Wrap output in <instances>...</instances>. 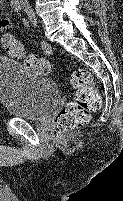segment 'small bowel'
<instances>
[{"label":"small bowel","instance_id":"1","mask_svg":"<svg viewBox=\"0 0 123 201\" xmlns=\"http://www.w3.org/2000/svg\"><path fill=\"white\" fill-rule=\"evenodd\" d=\"M13 26L12 21L7 18L3 17L0 19V41L2 44L4 36L7 34L5 33L6 30L11 29ZM2 49V46L0 47V50Z\"/></svg>","mask_w":123,"mask_h":201}]
</instances>
